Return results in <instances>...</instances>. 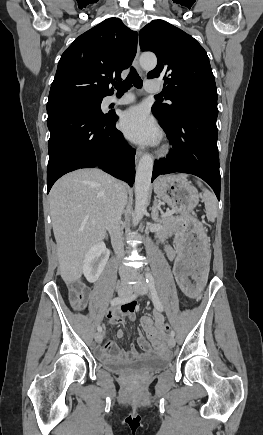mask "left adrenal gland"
<instances>
[{
  "instance_id": "1",
  "label": "left adrenal gland",
  "mask_w": 263,
  "mask_h": 435,
  "mask_svg": "<svg viewBox=\"0 0 263 435\" xmlns=\"http://www.w3.org/2000/svg\"><path fill=\"white\" fill-rule=\"evenodd\" d=\"M160 203H161L160 200L157 199V197H154V203L152 206V213H151L152 219L154 221H159V211L161 210Z\"/></svg>"
}]
</instances>
